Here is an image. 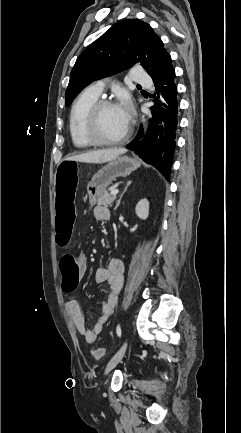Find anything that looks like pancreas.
I'll use <instances>...</instances> for the list:
<instances>
[{
  "mask_svg": "<svg viewBox=\"0 0 241 433\" xmlns=\"http://www.w3.org/2000/svg\"><path fill=\"white\" fill-rule=\"evenodd\" d=\"M115 199H116V196L111 195L108 191H105L97 198L96 204L102 205L105 207H108V206L111 207L113 202L115 201Z\"/></svg>",
  "mask_w": 241,
  "mask_h": 433,
  "instance_id": "pancreas-1",
  "label": "pancreas"
}]
</instances>
